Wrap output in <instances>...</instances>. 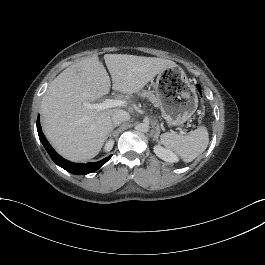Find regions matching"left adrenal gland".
Wrapping results in <instances>:
<instances>
[{
	"instance_id": "1",
	"label": "left adrenal gland",
	"mask_w": 265,
	"mask_h": 265,
	"mask_svg": "<svg viewBox=\"0 0 265 265\" xmlns=\"http://www.w3.org/2000/svg\"><path fill=\"white\" fill-rule=\"evenodd\" d=\"M160 134V128H159V124L156 125V134L154 135L153 140H156V142H159L158 140V136Z\"/></svg>"
}]
</instances>
